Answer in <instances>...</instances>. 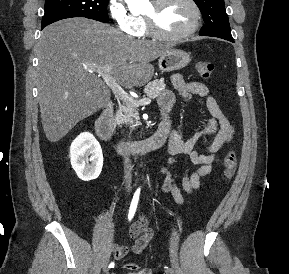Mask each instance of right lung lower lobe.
I'll use <instances>...</instances> for the list:
<instances>
[{"instance_id":"1","label":"right lung lower lobe","mask_w":289,"mask_h":274,"mask_svg":"<svg viewBox=\"0 0 289 274\" xmlns=\"http://www.w3.org/2000/svg\"><path fill=\"white\" fill-rule=\"evenodd\" d=\"M45 26H41V28L43 29Z\"/></svg>"}]
</instances>
